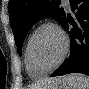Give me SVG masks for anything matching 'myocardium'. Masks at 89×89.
I'll list each match as a JSON object with an SVG mask.
<instances>
[{"instance_id":"myocardium-1","label":"myocardium","mask_w":89,"mask_h":89,"mask_svg":"<svg viewBox=\"0 0 89 89\" xmlns=\"http://www.w3.org/2000/svg\"><path fill=\"white\" fill-rule=\"evenodd\" d=\"M45 27H51L53 29H55L60 36L62 37L63 40V50L62 53L59 57V59L57 60V62L52 65L51 67L44 69V70H37L35 68V65L33 63V59H32V54H31V47H32V43L33 40L36 36V34L43 28ZM69 51V39L67 34L65 33V31L56 23L51 22V21H47V22H43L42 24H40L30 35L28 43H27V59H28V63L31 67L32 70L36 71L38 74H40L41 76L46 75L48 73H50L51 71L55 70L57 67H59L65 60L67 54Z\"/></svg>"}]
</instances>
